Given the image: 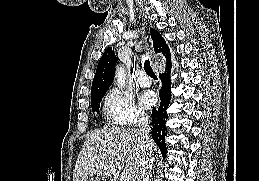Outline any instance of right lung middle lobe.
<instances>
[{"instance_id": "right-lung-middle-lobe-1", "label": "right lung middle lobe", "mask_w": 259, "mask_h": 181, "mask_svg": "<svg viewBox=\"0 0 259 181\" xmlns=\"http://www.w3.org/2000/svg\"><path fill=\"white\" fill-rule=\"evenodd\" d=\"M104 94L91 98V107H92L93 112H97V113L99 112L100 102H101Z\"/></svg>"}]
</instances>
